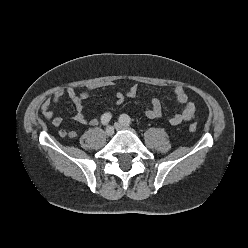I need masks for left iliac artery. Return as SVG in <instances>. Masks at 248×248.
Instances as JSON below:
<instances>
[{
  "instance_id": "44dca946",
  "label": "left iliac artery",
  "mask_w": 248,
  "mask_h": 248,
  "mask_svg": "<svg viewBox=\"0 0 248 248\" xmlns=\"http://www.w3.org/2000/svg\"><path fill=\"white\" fill-rule=\"evenodd\" d=\"M119 121L127 126L131 124V119L127 114H122L119 118Z\"/></svg>"
}]
</instances>
